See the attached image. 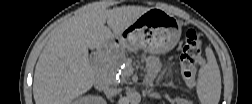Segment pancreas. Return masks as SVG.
Masks as SVG:
<instances>
[{
    "instance_id": "pancreas-1",
    "label": "pancreas",
    "mask_w": 252,
    "mask_h": 104,
    "mask_svg": "<svg viewBox=\"0 0 252 104\" xmlns=\"http://www.w3.org/2000/svg\"><path fill=\"white\" fill-rule=\"evenodd\" d=\"M116 67H117V63L114 62V61H110L109 63H107V64L105 65L103 71H104L105 73L110 74V73L115 72ZM125 75H126V74L123 73V76H125Z\"/></svg>"
}]
</instances>
